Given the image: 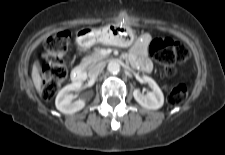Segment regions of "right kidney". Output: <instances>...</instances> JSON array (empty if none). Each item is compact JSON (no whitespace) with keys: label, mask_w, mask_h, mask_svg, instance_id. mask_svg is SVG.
Wrapping results in <instances>:
<instances>
[{"label":"right kidney","mask_w":225,"mask_h":155,"mask_svg":"<svg viewBox=\"0 0 225 155\" xmlns=\"http://www.w3.org/2000/svg\"><path fill=\"white\" fill-rule=\"evenodd\" d=\"M81 86L82 83L80 81L73 82L59 91L55 100V105L60 112L64 114H73L84 108V100L79 99L77 101L72 102L73 95L71 94V92L80 89Z\"/></svg>","instance_id":"ca27d5eb"}]
</instances>
